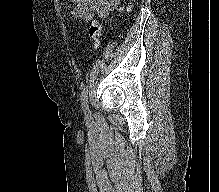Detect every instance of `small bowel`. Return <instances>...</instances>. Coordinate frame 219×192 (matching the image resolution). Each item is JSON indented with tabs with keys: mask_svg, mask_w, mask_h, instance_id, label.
<instances>
[{
	"mask_svg": "<svg viewBox=\"0 0 219 192\" xmlns=\"http://www.w3.org/2000/svg\"><path fill=\"white\" fill-rule=\"evenodd\" d=\"M121 0H72L74 4L73 16L89 21L96 14L100 19H106L116 10Z\"/></svg>",
	"mask_w": 219,
	"mask_h": 192,
	"instance_id": "small-bowel-1",
	"label": "small bowel"
}]
</instances>
